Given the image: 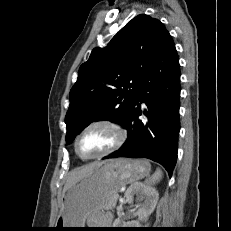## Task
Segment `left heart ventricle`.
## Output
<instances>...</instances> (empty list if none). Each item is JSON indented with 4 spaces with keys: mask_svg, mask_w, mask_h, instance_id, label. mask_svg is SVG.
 Listing matches in <instances>:
<instances>
[{
    "mask_svg": "<svg viewBox=\"0 0 231 231\" xmlns=\"http://www.w3.org/2000/svg\"><path fill=\"white\" fill-rule=\"evenodd\" d=\"M115 141L116 134L113 129L97 125L82 134L78 142V149L84 156H93L110 148Z\"/></svg>",
    "mask_w": 231,
    "mask_h": 231,
    "instance_id": "b2bd125f",
    "label": "left heart ventricle"
}]
</instances>
